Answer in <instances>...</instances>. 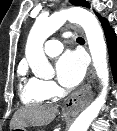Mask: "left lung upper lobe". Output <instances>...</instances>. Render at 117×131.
<instances>
[{
  "label": "left lung upper lobe",
  "instance_id": "5c2ea615",
  "mask_svg": "<svg viewBox=\"0 0 117 131\" xmlns=\"http://www.w3.org/2000/svg\"><path fill=\"white\" fill-rule=\"evenodd\" d=\"M70 2L73 5L83 6V7H87V8L90 7L89 3L85 0H70Z\"/></svg>",
  "mask_w": 117,
  "mask_h": 131
}]
</instances>
